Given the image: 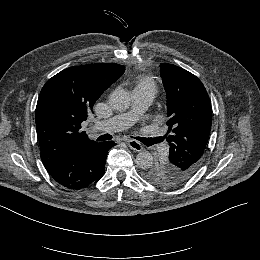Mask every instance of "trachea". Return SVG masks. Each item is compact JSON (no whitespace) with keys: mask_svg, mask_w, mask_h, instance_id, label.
<instances>
[{"mask_svg":"<svg viewBox=\"0 0 260 260\" xmlns=\"http://www.w3.org/2000/svg\"><path fill=\"white\" fill-rule=\"evenodd\" d=\"M134 139L142 142L146 146H151L153 144L159 143L163 141V137H150V138H145V137H133ZM111 137H107L104 140H109Z\"/></svg>","mask_w":260,"mask_h":260,"instance_id":"trachea-1","label":"trachea"}]
</instances>
